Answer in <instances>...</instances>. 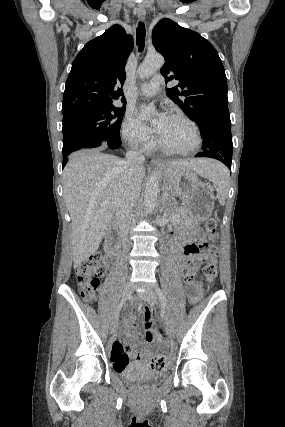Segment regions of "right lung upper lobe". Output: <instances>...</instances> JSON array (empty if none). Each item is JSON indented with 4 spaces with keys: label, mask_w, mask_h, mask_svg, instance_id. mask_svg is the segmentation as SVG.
I'll list each match as a JSON object with an SVG mask.
<instances>
[{
    "label": "right lung upper lobe",
    "mask_w": 285,
    "mask_h": 427,
    "mask_svg": "<svg viewBox=\"0 0 285 427\" xmlns=\"http://www.w3.org/2000/svg\"><path fill=\"white\" fill-rule=\"evenodd\" d=\"M133 49V39L119 25L89 41L73 61L63 97V117L113 105L126 104L122 85L125 64Z\"/></svg>",
    "instance_id": "right-lung-upper-lobe-1"
}]
</instances>
